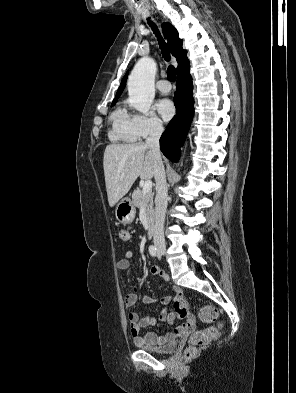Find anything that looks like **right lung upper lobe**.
<instances>
[{
	"mask_svg": "<svg viewBox=\"0 0 296 393\" xmlns=\"http://www.w3.org/2000/svg\"><path fill=\"white\" fill-rule=\"evenodd\" d=\"M163 28V34L165 35V38L168 41V46L172 52V54L176 57L177 62H178V67H177V72L182 69L185 65L189 64L188 58H187V52L186 50H183L182 48V39L179 38L177 30L174 28V26L170 23H163L162 24ZM128 73L125 75L123 78L120 87L117 91L116 97L113 100L117 101V98L120 96L122 93L124 87H125V82L127 79Z\"/></svg>",
	"mask_w": 296,
	"mask_h": 393,
	"instance_id": "cb5924a9",
	"label": "right lung upper lobe"
}]
</instances>
